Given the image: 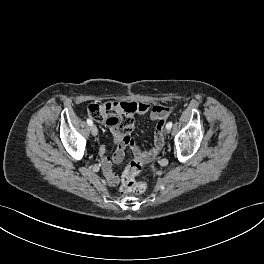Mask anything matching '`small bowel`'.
I'll return each instance as SVG.
<instances>
[{
  "label": "small bowel",
  "instance_id": "small-bowel-1",
  "mask_svg": "<svg viewBox=\"0 0 264 264\" xmlns=\"http://www.w3.org/2000/svg\"><path fill=\"white\" fill-rule=\"evenodd\" d=\"M130 103H133L137 106V111L135 113L138 114L149 113L150 119L154 122H159L161 120L165 121L170 114V108L167 106L158 105V104L152 105L144 102H140V103L130 102ZM112 133L114 136V142L117 146L115 152L112 155H110L108 153L107 147L105 145H101L99 148V155L101 158L102 167L107 182L111 186H116L119 182V178L112 169V163H120L123 160L124 152L127 147L131 148L136 155L144 154L145 160L150 161L157 155V153L159 152L162 146L154 144V147L151 150L147 152L141 151L130 136L115 130H112Z\"/></svg>",
  "mask_w": 264,
  "mask_h": 264
}]
</instances>
